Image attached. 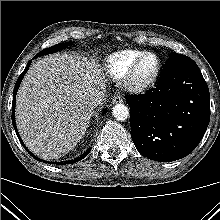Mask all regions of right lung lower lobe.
Here are the masks:
<instances>
[{
  "instance_id": "right-lung-lower-lobe-1",
  "label": "right lung lower lobe",
  "mask_w": 220,
  "mask_h": 220,
  "mask_svg": "<svg viewBox=\"0 0 220 220\" xmlns=\"http://www.w3.org/2000/svg\"><path fill=\"white\" fill-rule=\"evenodd\" d=\"M30 64H31V61L28 62V65H27L26 69H25V70L22 72V74L19 76V78H18V80H17V82H16V84H15L14 91H13V102H12V123H13V125H14L15 131H16V133H17V136H18L19 140L21 141L23 147H24L26 150H27V148L24 146V144H23V142H22V140H21V138H20V136H19V133H18V131H17V128H16V123H15V102H16V93H17L18 87H19V85H20V83H21V81H22V79H23L25 73L27 72V70H28ZM103 113H105V111H104ZM90 150H91V149H89L88 151H86V152H85L83 155H81L80 157L75 158V159H73V160H69V161H65V162H53V163L59 164V165H60V164H72V163H76V162H78L79 160L83 159V158L90 152ZM27 152H28L32 157L35 158V156H34L33 154H31L29 150H27ZM36 159H37V158H36ZM38 160H40V159H38Z\"/></svg>"
}]
</instances>
